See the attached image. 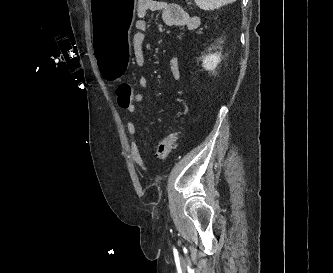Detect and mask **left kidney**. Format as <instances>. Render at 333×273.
Returning <instances> with one entry per match:
<instances>
[{
  "label": "left kidney",
  "mask_w": 333,
  "mask_h": 273,
  "mask_svg": "<svg viewBox=\"0 0 333 273\" xmlns=\"http://www.w3.org/2000/svg\"><path fill=\"white\" fill-rule=\"evenodd\" d=\"M211 50V49H209ZM202 66L204 69L209 70V71H214L217 67V65L221 61L220 54L214 53V54H208L206 56H202Z\"/></svg>",
  "instance_id": "obj_1"
}]
</instances>
